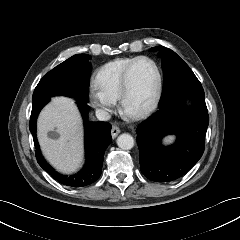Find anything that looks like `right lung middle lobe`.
Here are the masks:
<instances>
[{
  "instance_id": "dd1d6c3e",
  "label": "right lung middle lobe",
  "mask_w": 240,
  "mask_h": 240,
  "mask_svg": "<svg viewBox=\"0 0 240 240\" xmlns=\"http://www.w3.org/2000/svg\"><path fill=\"white\" fill-rule=\"evenodd\" d=\"M91 57L76 54L49 71L36 86L32 100L64 95L88 102Z\"/></svg>"
}]
</instances>
